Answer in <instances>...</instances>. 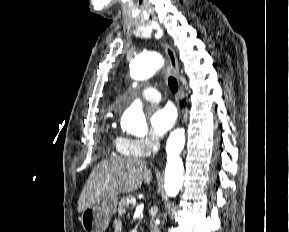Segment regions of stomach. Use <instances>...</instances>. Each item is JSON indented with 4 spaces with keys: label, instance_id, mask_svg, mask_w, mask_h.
Returning a JSON list of instances; mask_svg holds the SVG:
<instances>
[{
    "label": "stomach",
    "instance_id": "stomach-1",
    "mask_svg": "<svg viewBox=\"0 0 289 232\" xmlns=\"http://www.w3.org/2000/svg\"><path fill=\"white\" fill-rule=\"evenodd\" d=\"M118 203L117 197H111L84 209L80 217L84 231L105 232Z\"/></svg>",
    "mask_w": 289,
    "mask_h": 232
}]
</instances>
